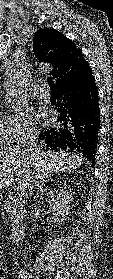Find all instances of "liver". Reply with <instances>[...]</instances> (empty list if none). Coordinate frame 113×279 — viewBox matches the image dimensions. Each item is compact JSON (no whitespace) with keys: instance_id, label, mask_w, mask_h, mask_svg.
I'll use <instances>...</instances> for the list:
<instances>
[{"instance_id":"6515ba94","label":"liver","mask_w":113,"mask_h":279,"mask_svg":"<svg viewBox=\"0 0 113 279\" xmlns=\"http://www.w3.org/2000/svg\"><path fill=\"white\" fill-rule=\"evenodd\" d=\"M84 163L79 154L68 152H23L17 147L0 150V189L12 183L27 187L32 178L43 181L53 173L77 170Z\"/></svg>"}]
</instances>
